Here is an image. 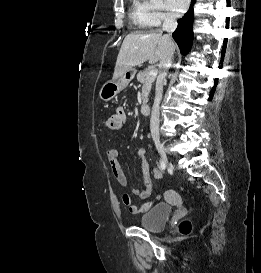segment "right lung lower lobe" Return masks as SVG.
Wrapping results in <instances>:
<instances>
[{
  "mask_svg": "<svg viewBox=\"0 0 261 273\" xmlns=\"http://www.w3.org/2000/svg\"><path fill=\"white\" fill-rule=\"evenodd\" d=\"M195 0L191 1L189 11L178 20V27L172 34L183 55L187 54L191 48L193 40L192 22L194 18L193 5Z\"/></svg>",
  "mask_w": 261,
  "mask_h": 273,
  "instance_id": "98d812e1",
  "label": "right lung lower lobe"
}]
</instances>
